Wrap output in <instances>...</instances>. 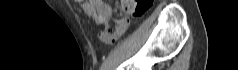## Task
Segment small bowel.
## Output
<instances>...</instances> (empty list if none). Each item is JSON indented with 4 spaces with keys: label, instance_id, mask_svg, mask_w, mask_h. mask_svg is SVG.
Segmentation results:
<instances>
[{
    "label": "small bowel",
    "instance_id": "small-bowel-1",
    "mask_svg": "<svg viewBox=\"0 0 238 70\" xmlns=\"http://www.w3.org/2000/svg\"><path fill=\"white\" fill-rule=\"evenodd\" d=\"M93 4L98 6L100 13L103 15L105 20H109L112 17L113 10L111 5L108 2L101 1V0H93ZM128 27V20L127 19H120L117 21L115 28L106 29L99 33V39L106 43L112 44L117 41L122 34L126 31Z\"/></svg>",
    "mask_w": 238,
    "mask_h": 70
}]
</instances>
